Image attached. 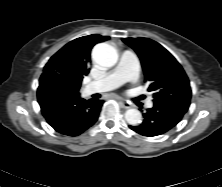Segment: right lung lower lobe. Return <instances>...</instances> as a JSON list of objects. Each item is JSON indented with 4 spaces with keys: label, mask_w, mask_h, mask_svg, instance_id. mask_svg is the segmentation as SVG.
<instances>
[{
    "label": "right lung lower lobe",
    "mask_w": 222,
    "mask_h": 187,
    "mask_svg": "<svg viewBox=\"0 0 222 187\" xmlns=\"http://www.w3.org/2000/svg\"><path fill=\"white\" fill-rule=\"evenodd\" d=\"M41 112L57 132L77 136L98 119L102 100H85L79 92L68 89L57 74L41 76L37 90Z\"/></svg>",
    "instance_id": "98d812e1"
}]
</instances>
